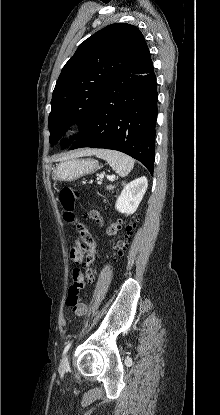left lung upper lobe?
I'll list each match as a JSON object with an SVG mask.
<instances>
[{
	"instance_id": "5c2ea615",
	"label": "left lung upper lobe",
	"mask_w": 220,
	"mask_h": 415,
	"mask_svg": "<svg viewBox=\"0 0 220 415\" xmlns=\"http://www.w3.org/2000/svg\"><path fill=\"white\" fill-rule=\"evenodd\" d=\"M150 60L143 34L130 24L109 25L82 42L63 67L53 91L48 122L50 143L58 141L73 123L82 129L62 147L77 139L113 82L140 71Z\"/></svg>"
}]
</instances>
